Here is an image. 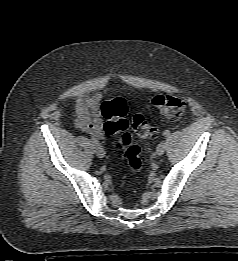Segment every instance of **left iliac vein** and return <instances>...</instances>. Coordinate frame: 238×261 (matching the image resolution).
I'll return each mask as SVG.
<instances>
[{
    "instance_id": "4c4485c4",
    "label": "left iliac vein",
    "mask_w": 238,
    "mask_h": 261,
    "mask_svg": "<svg viewBox=\"0 0 238 261\" xmlns=\"http://www.w3.org/2000/svg\"><path fill=\"white\" fill-rule=\"evenodd\" d=\"M166 144L164 142H160L157 146V154L158 156H162L165 152Z\"/></svg>"
}]
</instances>
